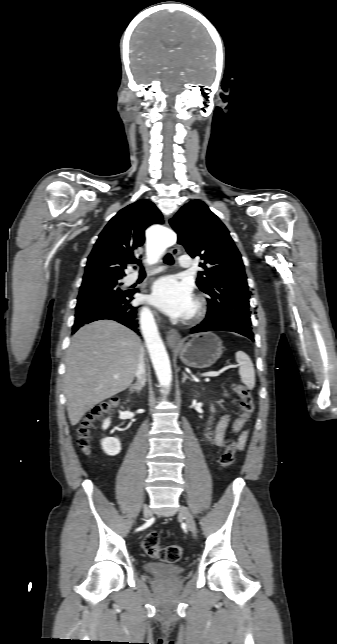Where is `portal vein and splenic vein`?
I'll use <instances>...</instances> for the list:
<instances>
[{"label": "portal vein and splenic vein", "mask_w": 337, "mask_h": 644, "mask_svg": "<svg viewBox=\"0 0 337 644\" xmlns=\"http://www.w3.org/2000/svg\"><path fill=\"white\" fill-rule=\"evenodd\" d=\"M219 375H220V371H211V372L202 374V376L204 377H217ZM115 378H117V376H115Z\"/></svg>", "instance_id": "portal-vein-and-splenic-vein-1"}]
</instances>
